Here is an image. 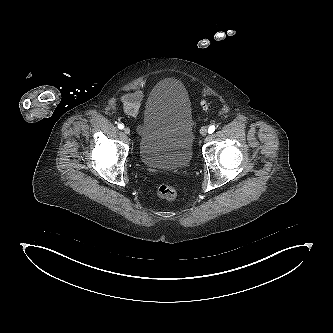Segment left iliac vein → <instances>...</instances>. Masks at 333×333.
<instances>
[{
	"mask_svg": "<svg viewBox=\"0 0 333 333\" xmlns=\"http://www.w3.org/2000/svg\"><path fill=\"white\" fill-rule=\"evenodd\" d=\"M207 133H208L207 127L206 126L201 127L200 134L202 136H205V135H207Z\"/></svg>",
	"mask_w": 333,
	"mask_h": 333,
	"instance_id": "1",
	"label": "left iliac vein"
}]
</instances>
